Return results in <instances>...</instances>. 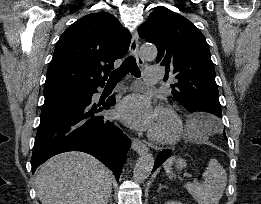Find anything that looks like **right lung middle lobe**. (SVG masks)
Here are the masks:
<instances>
[{"instance_id": "obj_1", "label": "right lung middle lobe", "mask_w": 261, "mask_h": 204, "mask_svg": "<svg viewBox=\"0 0 261 204\" xmlns=\"http://www.w3.org/2000/svg\"><path fill=\"white\" fill-rule=\"evenodd\" d=\"M77 93H79V92H63V93L48 94V95H45V101H50V100H54V99H58V98H64L67 96L75 95Z\"/></svg>"}]
</instances>
